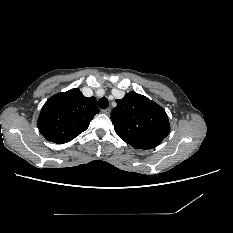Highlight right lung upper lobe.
<instances>
[{"instance_id":"right-lung-upper-lobe-1","label":"right lung upper lobe","mask_w":233,"mask_h":233,"mask_svg":"<svg viewBox=\"0 0 233 233\" xmlns=\"http://www.w3.org/2000/svg\"><path fill=\"white\" fill-rule=\"evenodd\" d=\"M97 113L95 97L87 98L74 88L46 101L38 118V128L46 140L66 143L84 132Z\"/></svg>"}]
</instances>
